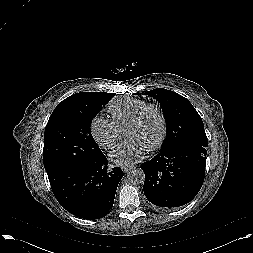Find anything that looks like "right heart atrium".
<instances>
[{
    "label": "right heart atrium",
    "instance_id": "obj_1",
    "mask_svg": "<svg viewBox=\"0 0 253 253\" xmlns=\"http://www.w3.org/2000/svg\"><path fill=\"white\" fill-rule=\"evenodd\" d=\"M91 134L95 142L105 150H112L119 141V129L112 120L96 116L91 121Z\"/></svg>",
    "mask_w": 253,
    "mask_h": 253
}]
</instances>
